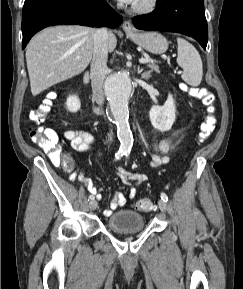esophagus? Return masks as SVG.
I'll return each instance as SVG.
<instances>
[{
	"label": "esophagus",
	"mask_w": 243,
	"mask_h": 289,
	"mask_svg": "<svg viewBox=\"0 0 243 289\" xmlns=\"http://www.w3.org/2000/svg\"><path fill=\"white\" fill-rule=\"evenodd\" d=\"M123 30L126 32V33H133L135 32V29L132 25V23L130 21H124L123 23Z\"/></svg>",
	"instance_id": "obj_1"
}]
</instances>
